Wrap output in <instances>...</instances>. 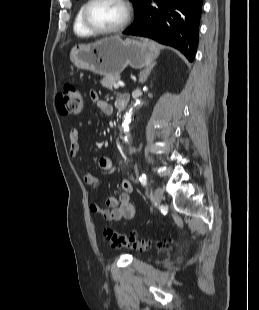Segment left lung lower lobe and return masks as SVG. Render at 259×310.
Returning <instances> with one entry per match:
<instances>
[{"label":"left lung lower lobe","instance_id":"obj_1","mask_svg":"<svg viewBox=\"0 0 259 310\" xmlns=\"http://www.w3.org/2000/svg\"><path fill=\"white\" fill-rule=\"evenodd\" d=\"M154 1L158 7L151 5ZM202 0H145L123 33L144 36L180 50L193 61L199 38Z\"/></svg>","mask_w":259,"mask_h":310}]
</instances>
